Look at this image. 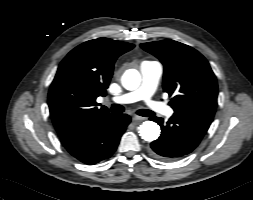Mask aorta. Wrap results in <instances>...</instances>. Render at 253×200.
<instances>
[{"mask_svg":"<svg viewBox=\"0 0 253 200\" xmlns=\"http://www.w3.org/2000/svg\"><path fill=\"white\" fill-rule=\"evenodd\" d=\"M140 84V74L135 69L126 71L122 77V85L127 90H134ZM160 127L153 121H145L139 127V133L142 139L152 142L160 136Z\"/></svg>","mask_w":253,"mask_h":200,"instance_id":"obj_1","label":"aorta"}]
</instances>
